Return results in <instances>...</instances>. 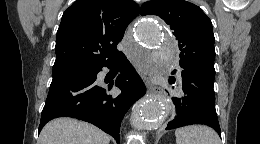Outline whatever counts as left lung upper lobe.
Wrapping results in <instances>:
<instances>
[{
    "label": "left lung upper lobe",
    "instance_id": "5c2ea615",
    "mask_svg": "<svg viewBox=\"0 0 260 144\" xmlns=\"http://www.w3.org/2000/svg\"><path fill=\"white\" fill-rule=\"evenodd\" d=\"M141 15H157L174 31L180 66L215 78L212 23L198 6L184 0H152L141 6Z\"/></svg>",
    "mask_w": 260,
    "mask_h": 144
}]
</instances>
